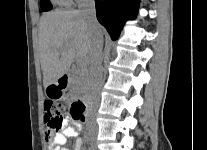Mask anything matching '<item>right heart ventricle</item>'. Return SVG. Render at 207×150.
<instances>
[{
  "instance_id": "obj_1",
  "label": "right heart ventricle",
  "mask_w": 207,
  "mask_h": 150,
  "mask_svg": "<svg viewBox=\"0 0 207 150\" xmlns=\"http://www.w3.org/2000/svg\"><path fill=\"white\" fill-rule=\"evenodd\" d=\"M58 5H66L69 2L67 0H53Z\"/></svg>"
}]
</instances>
